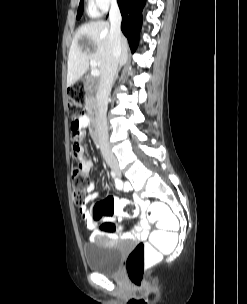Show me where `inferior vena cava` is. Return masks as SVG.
Masks as SVG:
<instances>
[{"instance_id":"inferior-vena-cava-1","label":"inferior vena cava","mask_w":247,"mask_h":304,"mask_svg":"<svg viewBox=\"0 0 247 304\" xmlns=\"http://www.w3.org/2000/svg\"><path fill=\"white\" fill-rule=\"evenodd\" d=\"M121 13L116 1L112 2L109 13L111 23L109 43L107 49L106 65L99 80L96 93L98 112L95 117V125L98 140L103 157L108 165L117 167V159L113 155L108 141V127L106 120L108 99L112 84L117 73L119 58L121 55Z\"/></svg>"}]
</instances>
